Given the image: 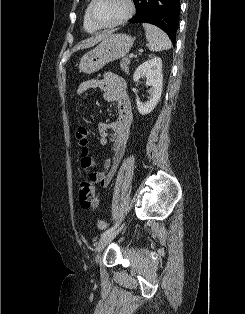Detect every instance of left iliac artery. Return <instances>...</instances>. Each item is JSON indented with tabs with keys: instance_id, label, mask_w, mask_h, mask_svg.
Here are the masks:
<instances>
[{
	"instance_id": "obj_1",
	"label": "left iliac artery",
	"mask_w": 245,
	"mask_h": 314,
	"mask_svg": "<svg viewBox=\"0 0 245 314\" xmlns=\"http://www.w3.org/2000/svg\"><path fill=\"white\" fill-rule=\"evenodd\" d=\"M121 220H122V219H120V221H121ZM120 221L117 222L113 227H111V228L107 229L105 232H103V234L101 235V238L104 237V236H106L107 234H109V233L112 232L113 230H115V229L117 228V226L119 225Z\"/></svg>"
}]
</instances>
